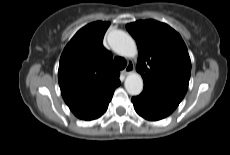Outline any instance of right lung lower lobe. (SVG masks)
<instances>
[{"mask_svg": "<svg viewBox=\"0 0 230 155\" xmlns=\"http://www.w3.org/2000/svg\"><path fill=\"white\" fill-rule=\"evenodd\" d=\"M108 108V107H107ZM107 108L106 109H104L101 113H99V114H97V115H95V116H93V117H91V118H88V119H86V120H93V119H97L98 117H100L101 115H103L104 114V112L107 110Z\"/></svg>", "mask_w": 230, "mask_h": 155, "instance_id": "1", "label": "right lung lower lobe"}]
</instances>
